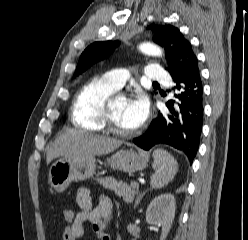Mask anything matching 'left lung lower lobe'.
<instances>
[{
	"instance_id": "left-lung-lower-lobe-1",
	"label": "left lung lower lobe",
	"mask_w": 248,
	"mask_h": 240,
	"mask_svg": "<svg viewBox=\"0 0 248 240\" xmlns=\"http://www.w3.org/2000/svg\"><path fill=\"white\" fill-rule=\"evenodd\" d=\"M173 81L179 93L166 103L170 113L159 112L145 134L133 142L145 150L168 144L182 151L192 164L203 125V86L197 58Z\"/></svg>"
}]
</instances>
